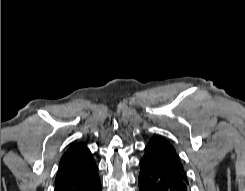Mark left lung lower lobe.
Returning a JSON list of instances; mask_svg holds the SVG:
<instances>
[{
	"label": "left lung lower lobe",
	"mask_w": 245,
	"mask_h": 191,
	"mask_svg": "<svg viewBox=\"0 0 245 191\" xmlns=\"http://www.w3.org/2000/svg\"><path fill=\"white\" fill-rule=\"evenodd\" d=\"M138 182L139 191H189L182 163L149 148L140 160Z\"/></svg>",
	"instance_id": "0a47b994"
}]
</instances>
